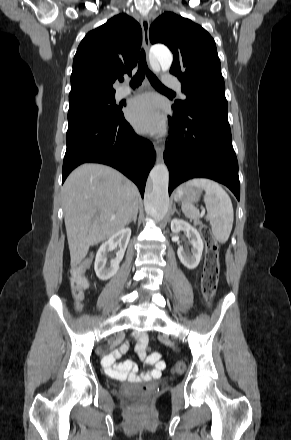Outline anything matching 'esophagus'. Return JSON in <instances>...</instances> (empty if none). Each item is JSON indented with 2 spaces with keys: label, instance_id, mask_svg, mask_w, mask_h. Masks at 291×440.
Segmentation results:
<instances>
[{
  "label": "esophagus",
  "instance_id": "obj_1",
  "mask_svg": "<svg viewBox=\"0 0 291 440\" xmlns=\"http://www.w3.org/2000/svg\"><path fill=\"white\" fill-rule=\"evenodd\" d=\"M141 27L143 31V45L145 51L148 52L150 45V40H149L150 20L146 15H143L141 18ZM155 151H156V160L160 162L163 158L164 148L162 145H156Z\"/></svg>",
  "mask_w": 291,
  "mask_h": 440
}]
</instances>
